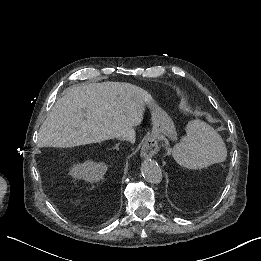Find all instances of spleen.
I'll return each instance as SVG.
<instances>
[{
  "label": "spleen",
  "instance_id": "spleen-1",
  "mask_svg": "<svg viewBox=\"0 0 261 261\" xmlns=\"http://www.w3.org/2000/svg\"><path fill=\"white\" fill-rule=\"evenodd\" d=\"M187 136L176 145V161L188 169H201L227 158V148L218 132L201 120H192L186 127Z\"/></svg>",
  "mask_w": 261,
  "mask_h": 261
}]
</instances>
